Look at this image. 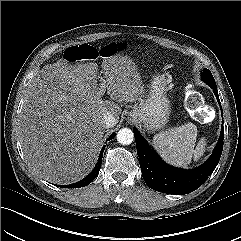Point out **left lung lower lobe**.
Here are the masks:
<instances>
[{"instance_id":"1","label":"left lung lower lobe","mask_w":241,"mask_h":241,"mask_svg":"<svg viewBox=\"0 0 241 241\" xmlns=\"http://www.w3.org/2000/svg\"><path fill=\"white\" fill-rule=\"evenodd\" d=\"M220 104L217 86L209 84ZM137 154L146 184L153 190L168 194H188L199 188L216 168L223 150L224 129L211 157L200 167L184 170L167 165L149 146L136 128Z\"/></svg>"}]
</instances>
